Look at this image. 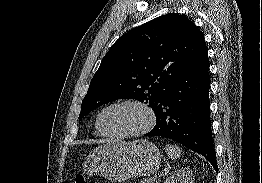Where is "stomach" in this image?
<instances>
[{
    "instance_id": "obj_1",
    "label": "stomach",
    "mask_w": 262,
    "mask_h": 183,
    "mask_svg": "<svg viewBox=\"0 0 262 183\" xmlns=\"http://www.w3.org/2000/svg\"><path fill=\"white\" fill-rule=\"evenodd\" d=\"M160 162L159 149L148 140L110 139L85 158L82 170L88 176L99 174L108 180L123 182L155 173Z\"/></svg>"
}]
</instances>
